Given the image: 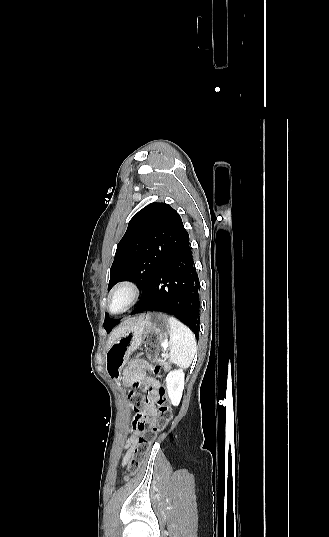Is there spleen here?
Here are the masks:
<instances>
[{
	"label": "spleen",
	"mask_w": 329,
	"mask_h": 537,
	"mask_svg": "<svg viewBox=\"0 0 329 537\" xmlns=\"http://www.w3.org/2000/svg\"><path fill=\"white\" fill-rule=\"evenodd\" d=\"M169 323L170 359L179 367H189L197 349L195 336L192 331L178 319L170 317Z\"/></svg>",
	"instance_id": "3e777b00"
}]
</instances>
